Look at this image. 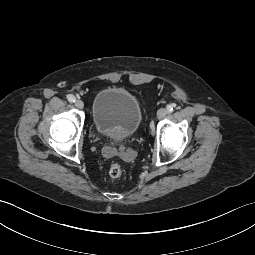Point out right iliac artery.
Listing matches in <instances>:
<instances>
[{"mask_svg":"<svg viewBox=\"0 0 255 255\" xmlns=\"http://www.w3.org/2000/svg\"><path fill=\"white\" fill-rule=\"evenodd\" d=\"M68 101H69L70 103H74V102H75V97L72 96V95H70V96L68 97Z\"/></svg>","mask_w":255,"mask_h":255,"instance_id":"right-iliac-artery-1","label":"right iliac artery"}]
</instances>
